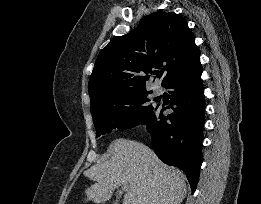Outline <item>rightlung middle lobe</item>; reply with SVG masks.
Instances as JSON below:
<instances>
[{
	"instance_id": "1",
	"label": "right lung middle lobe",
	"mask_w": 261,
	"mask_h": 204,
	"mask_svg": "<svg viewBox=\"0 0 261 204\" xmlns=\"http://www.w3.org/2000/svg\"><path fill=\"white\" fill-rule=\"evenodd\" d=\"M147 95L146 90L130 91L110 102L92 106L97 136L110 133L114 128L128 129L139 125L154 109L148 104Z\"/></svg>"
}]
</instances>
